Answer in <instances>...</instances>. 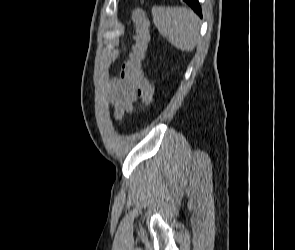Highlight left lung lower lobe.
Returning <instances> with one entry per match:
<instances>
[{"mask_svg": "<svg viewBox=\"0 0 295 250\" xmlns=\"http://www.w3.org/2000/svg\"><path fill=\"white\" fill-rule=\"evenodd\" d=\"M189 6L193 8V10L200 16L202 17L201 14V8L199 6L198 0H184Z\"/></svg>", "mask_w": 295, "mask_h": 250, "instance_id": "obj_1", "label": "left lung lower lobe"}]
</instances>
